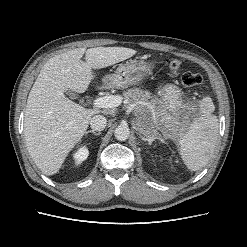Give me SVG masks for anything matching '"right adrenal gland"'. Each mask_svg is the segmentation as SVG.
I'll use <instances>...</instances> for the list:
<instances>
[{
    "label": "right adrenal gland",
    "mask_w": 247,
    "mask_h": 247,
    "mask_svg": "<svg viewBox=\"0 0 247 247\" xmlns=\"http://www.w3.org/2000/svg\"><path fill=\"white\" fill-rule=\"evenodd\" d=\"M88 133H93L96 136H99L101 134V132H95L94 130H88L85 132V135H87Z\"/></svg>",
    "instance_id": "1"
}]
</instances>
